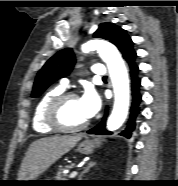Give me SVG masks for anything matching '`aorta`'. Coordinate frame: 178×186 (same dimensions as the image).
I'll return each instance as SVG.
<instances>
[{
    "mask_svg": "<svg viewBox=\"0 0 178 186\" xmlns=\"http://www.w3.org/2000/svg\"><path fill=\"white\" fill-rule=\"evenodd\" d=\"M81 49L84 53L96 50L107 64L115 95L113 110L107 121V129L115 131L122 126L129 110V78L124 61L116 47L105 40H90L83 44Z\"/></svg>",
    "mask_w": 178,
    "mask_h": 186,
    "instance_id": "1",
    "label": "aorta"
}]
</instances>
